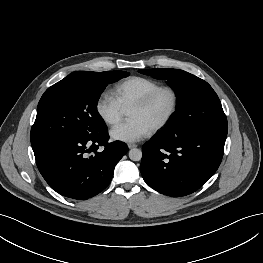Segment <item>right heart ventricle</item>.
I'll list each match as a JSON object with an SVG mask.
<instances>
[{
  "mask_svg": "<svg viewBox=\"0 0 263 263\" xmlns=\"http://www.w3.org/2000/svg\"><path fill=\"white\" fill-rule=\"evenodd\" d=\"M160 86L156 80L133 76L118 83L113 90L114 97L125 108H130L134 103L145 97L148 93Z\"/></svg>",
  "mask_w": 263,
  "mask_h": 263,
  "instance_id": "1",
  "label": "right heart ventricle"
}]
</instances>
